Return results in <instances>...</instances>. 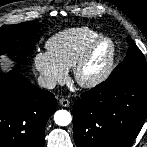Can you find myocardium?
Instances as JSON below:
<instances>
[{
    "mask_svg": "<svg viewBox=\"0 0 147 147\" xmlns=\"http://www.w3.org/2000/svg\"><path fill=\"white\" fill-rule=\"evenodd\" d=\"M103 42H107L109 44V52L105 65L94 76L89 78L84 77V68L89 62L97 46ZM116 52V44L111 37L106 35H98L96 38H94L87 45V47L85 48V50L83 51V53L81 54V56L79 57V59L73 67V74L77 84L83 88H93L101 84L103 81H105L113 70L116 59Z\"/></svg>",
    "mask_w": 147,
    "mask_h": 147,
    "instance_id": "1",
    "label": "myocardium"
}]
</instances>
